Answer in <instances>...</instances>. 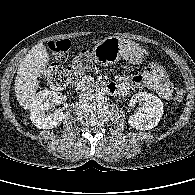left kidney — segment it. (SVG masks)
Instances as JSON below:
<instances>
[{"instance_id":"left-kidney-1","label":"left kidney","mask_w":195,"mask_h":195,"mask_svg":"<svg viewBox=\"0 0 195 195\" xmlns=\"http://www.w3.org/2000/svg\"><path fill=\"white\" fill-rule=\"evenodd\" d=\"M131 106L137 104L140 108L129 117L128 123L139 130H149L156 127L163 115L162 101L152 93L140 92L132 96Z\"/></svg>"}]
</instances>
